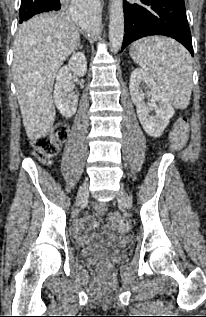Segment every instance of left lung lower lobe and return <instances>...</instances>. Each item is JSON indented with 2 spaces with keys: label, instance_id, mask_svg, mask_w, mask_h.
Segmentation results:
<instances>
[{
  "label": "left lung lower lobe",
  "instance_id": "1",
  "mask_svg": "<svg viewBox=\"0 0 206 317\" xmlns=\"http://www.w3.org/2000/svg\"><path fill=\"white\" fill-rule=\"evenodd\" d=\"M125 35L121 51L131 42L149 35H165L183 44L193 55L184 0L124 2Z\"/></svg>",
  "mask_w": 206,
  "mask_h": 317
}]
</instances>
